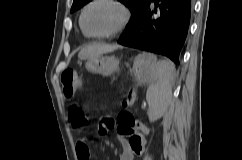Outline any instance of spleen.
I'll use <instances>...</instances> for the list:
<instances>
[{
  "label": "spleen",
  "instance_id": "1",
  "mask_svg": "<svg viewBox=\"0 0 242 160\" xmlns=\"http://www.w3.org/2000/svg\"><path fill=\"white\" fill-rule=\"evenodd\" d=\"M149 59L152 82L147 90V101L153 109L167 108L172 95L175 67L170 61H158L152 54H149Z\"/></svg>",
  "mask_w": 242,
  "mask_h": 160
}]
</instances>
